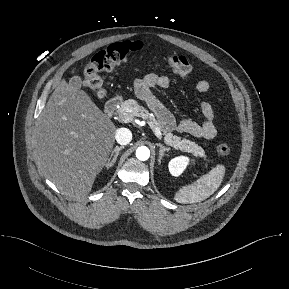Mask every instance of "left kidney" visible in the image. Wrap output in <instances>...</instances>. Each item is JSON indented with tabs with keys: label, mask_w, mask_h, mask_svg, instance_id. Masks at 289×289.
I'll list each match as a JSON object with an SVG mask.
<instances>
[{
	"label": "left kidney",
	"mask_w": 289,
	"mask_h": 289,
	"mask_svg": "<svg viewBox=\"0 0 289 289\" xmlns=\"http://www.w3.org/2000/svg\"><path fill=\"white\" fill-rule=\"evenodd\" d=\"M188 163H189L188 157L180 156L173 158L168 165L169 171L173 176L178 177L186 169Z\"/></svg>",
	"instance_id": "left-kidney-1"
}]
</instances>
